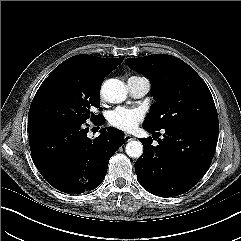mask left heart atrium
<instances>
[{"label": "left heart atrium", "mask_w": 241, "mask_h": 241, "mask_svg": "<svg viewBox=\"0 0 241 241\" xmlns=\"http://www.w3.org/2000/svg\"><path fill=\"white\" fill-rule=\"evenodd\" d=\"M143 119L144 112L139 108L117 107L108 114L111 126L127 132L135 130Z\"/></svg>", "instance_id": "left-heart-atrium-1"}]
</instances>
